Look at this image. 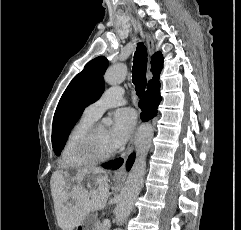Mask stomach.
I'll return each mask as SVG.
<instances>
[{
	"label": "stomach",
	"mask_w": 241,
	"mask_h": 230,
	"mask_svg": "<svg viewBox=\"0 0 241 230\" xmlns=\"http://www.w3.org/2000/svg\"><path fill=\"white\" fill-rule=\"evenodd\" d=\"M96 176L87 175L85 182H94ZM97 221L96 218L92 215H88L83 222L76 227V230H96Z\"/></svg>",
	"instance_id": "1"
}]
</instances>
